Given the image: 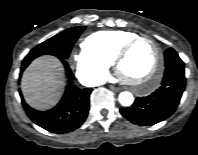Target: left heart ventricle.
I'll return each instance as SVG.
<instances>
[{"instance_id":"b2bd125f","label":"left heart ventricle","mask_w":198,"mask_h":155,"mask_svg":"<svg viewBox=\"0 0 198 155\" xmlns=\"http://www.w3.org/2000/svg\"><path fill=\"white\" fill-rule=\"evenodd\" d=\"M156 53L148 41L138 42L120 64L123 77L134 82L144 81L155 63Z\"/></svg>"}]
</instances>
